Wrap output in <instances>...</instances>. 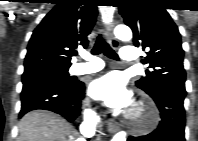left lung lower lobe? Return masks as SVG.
<instances>
[{
	"label": "left lung lower lobe",
	"instance_id": "1",
	"mask_svg": "<svg viewBox=\"0 0 198 141\" xmlns=\"http://www.w3.org/2000/svg\"><path fill=\"white\" fill-rule=\"evenodd\" d=\"M185 96V90L173 87H165L151 96L160 111L158 128L145 136L130 137L128 141H185Z\"/></svg>",
	"mask_w": 198,
	"mask_h": 141
}]
</instances>
